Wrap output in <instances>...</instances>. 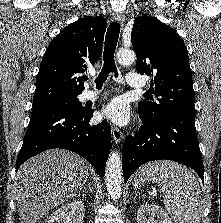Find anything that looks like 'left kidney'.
Returning <instances> with one entry per match:
<instances>
[{"mask_svg":"<svg viewBox=\"0 0 221 223\" xmlns=\"http://www.w3.org/2000/svg\"><path fill=\"white\" fill-rule=\"evenodd\" d=\"M150 216L147 218V216ZM157 217V221L154 220ZM137 223H173L167 212L158 205L145 203L137 212Z\"/></svg>","mask_w":221,"mask_h":223,"instance_id":"left-kidney-1","label":"left kidney"}]
</instances>
